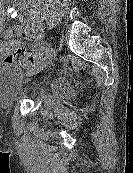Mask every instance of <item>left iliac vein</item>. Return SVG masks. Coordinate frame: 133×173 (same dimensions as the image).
Listing matches in <instances>:
<instances>
[{
  "instance_id": "1",
  "label": "left iliac vein",
  "mask_w": 133,
  "mask_h": 173,
  "mask_svg": "<svg viewBox=\"0 0 133 173\" xmlns=\"http://www.w3.org/2000/svg\"><path fill=\"white\" fill-rule=\"evenodd\" d=\"M57 54V50L54 47H51L49 51L46 53L45 57L41 59L40 61L36 62L28 71V76H33L39 72H41L43 69H45L55 58Z\"/></svg>"
}]
</instances>
